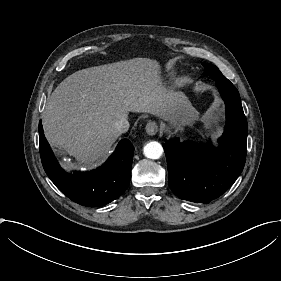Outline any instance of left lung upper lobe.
<instances>
[{
    "mask_svg": "<svg viewBox=\"0 0 281 281\" xmlns=\"http://www.w3.org/2000/svg\"><path fill=\"white\" fill-rule=\"evenodd\" d=\"M204 68L206 69V73L212 77L214 80H225L226 77L223 76V74L219 71V69L209 63H202Z\"/></svg>",
    "mask_w": 281,
    "mask_h": 281,
    "instance_id": "1",
    "label": "left lung upper lobe"
}]
</instances>
